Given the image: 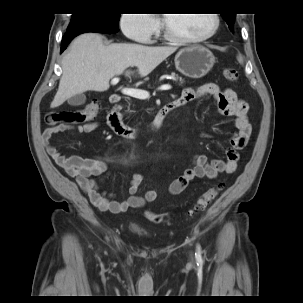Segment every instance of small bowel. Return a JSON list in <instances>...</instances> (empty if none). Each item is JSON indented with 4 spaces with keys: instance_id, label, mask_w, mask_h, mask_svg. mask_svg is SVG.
<instances>
[{
    "instance_id": "c3829d8e",
    "label": "small bowel",
    "mask_w": 303,
    "mask_h": 303,
    "mask_svg": "<svg viewBox=\"0 0 303 303\" xmlns=\"http://www.w3.org/2000/svg\"><path fill=\"white\" fill-rule=\"evenodd\" d=\"M211 97L218 105L219 114L222 116L235 115L236 131L231 135L229 147L225 151L224 159L208 161L204 155H196L192 161V167L181 176L174 179L169 185L171 195H179L196 178H208L214 180L221 173H233L236 171L240 159L239 150L246 147L251 136L252 127L247 118L246 105L239 99L236 93L230 89H222L217 84L206 83L198 87L184 88L181 96L176 100L179 106L186 105L194 100ZM100 124L89 122L83 125L61 124L52 128H46L42 133L44 147L52 160L61 167L69 176L75 177L81 189L88 195L91 202L102 211L112 213L125 212L128 209L143 208L146 203L153 202L157 193L153 190L146 192L145 196L136 195L143 177L135 173L129 179L128 191L130 196L124 201L111 199V195L99 190L93 177L103 174L107 169V163L103 160L84 158L78 155L65 157L52 144L54 134L66 130L77 133H89L96 130ZM201 136L210 138V135L201 133Z\"/></svg>"
}]
</instances>
